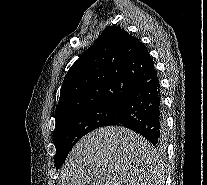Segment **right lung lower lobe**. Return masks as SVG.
<instances>
[{
  "instance_id": "1",
  "label": "right lung lower lobe",
  "mask_w": 207,
  "mask_h": 185,
  "mask_svg": "<svg viewBox=\"0 0 207 185\" xmlns=\"http://www.w3.org/2000/svg\"><path fill=\"white\" fill-rule=\"evenodd\" d=\"M134 130L158 149L164 148L165 117L158 77L139 87L121 105L115 120L106 126Z\"/></svg>"
}]
</instances>
